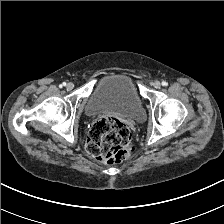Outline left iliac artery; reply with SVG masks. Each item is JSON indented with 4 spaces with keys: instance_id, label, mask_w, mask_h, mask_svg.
<instances>
[{
    "instance_id": "1",
    "label": "left iliac artery",
    "mask_w": 224,
    "mask_h": 224,
    "mask_svg": "<svg viewBox=\"0 0 224 224\" xmlns=\"http://www.w3.org/2000/svg\"><path fill=\"white\" fill-rule=\"evenodd\" d=\"M167 85H168V83L166 81L162 82V86H167Z\"/></svg>"
}]
</instances>
